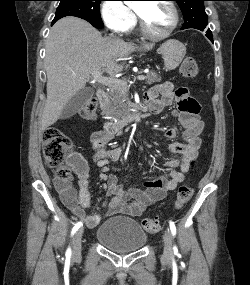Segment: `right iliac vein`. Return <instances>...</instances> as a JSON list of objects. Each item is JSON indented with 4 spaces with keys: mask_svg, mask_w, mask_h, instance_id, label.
<instances>
[{
    "mask_svg": "<svg viewBox=\"0 0 250 285\" xmlns=\"http://www.w3.org/2000/svg\"><path fill=\"white\" fill-rule=\"evenodd\" d=\"M84 228H80L74 238H73V250H72V255L74 257H77L81 253V241H82V236H83Z\"/></svg>",
    "mask_w": 250,
    "mask_h": 285,
    "instance_id": "right-iliac-vein-1",
    "label": "right iliac vein"
}]
</instances>
